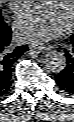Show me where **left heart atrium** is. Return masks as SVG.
Here are the masks:
<instances>
[{
  "label": "left heart atrium",
  "mask_w": 74,
  "mask_h": 122,
  "mask_svg": "<svg viewBox=\"0 0 74 122\" xmlns=\"http://www.w3.org/2000/svg\"><path fill=\"white\" fill-rule=\"evenodd\" d=\"M68 25L52 5L45 4L20 15L15 32L21 41H47L63 34Z\"/></svg>",
  "instance_id": "left-heart-atrium-1"
}]
</instances>
